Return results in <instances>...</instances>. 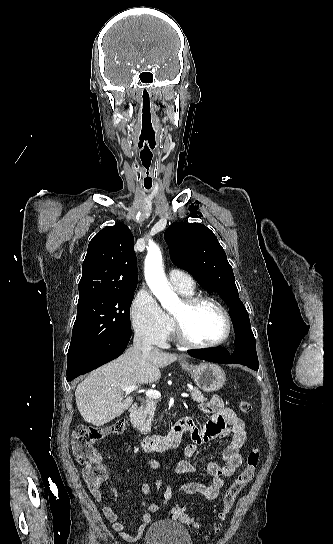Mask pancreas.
I'll use <instances>...</instances> for the list:
<instances>
[{
	"mask_svg": "<svg viewBox=\"0 0 333 544\" xmlns=\"http://www.w3.org/2000/svg\"><path fill=\"white\" fill-rule=\"evenodd\" d=\"M188 391H190L193 401L197 403H202L207 400L197 388H192ZM155 409L156 401L153 398H147L139 407L137 411V429L141 433L145 434L150 431Z\"/></svg>",
	"mask_w": 333,
	"mask_h": 544,
	"instance_id": "1",
	"label": "pancreas"
}]
</instances>
